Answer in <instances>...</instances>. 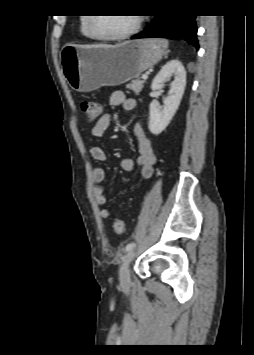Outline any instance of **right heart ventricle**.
<instances>
[{"label": "right heart ventricle", "mask_w": 254, "mask_h": 355, "mask_svg": "<svg viewBox=\"0 0 254 355\" xmlns=\"http://www.w3.org/2000/svg\"><path fill=\"white\" fill-rule=\"evenodd\" d=\"M88 20H89V17H87V16L81 17L80 31L85 38H87L89 40H94L95 38L91 35L89 28H88Z\"/></svg>", "instance_id": "e07e8e85"}]
</instances>
